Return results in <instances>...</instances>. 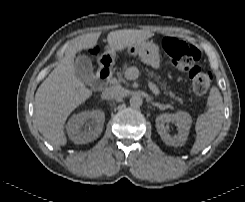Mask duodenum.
Returning <instances> with one entry per match:
<instances>
[{"label":"duodenum","instance_id":"obj_1","mask_svg":"<svg viewBox=\"0 0 245 202\" xmlns=\"http://www.w3.org/2000/svg\"><path fill=\"white\" fill-rule=\"evenodd\" d=\"M111 78V58L102 55L97 69V84L100 88H105Z\"/></svg>","mask_w":245,"mask_h":202}]
</instances>
